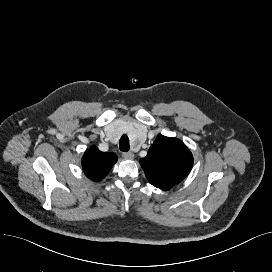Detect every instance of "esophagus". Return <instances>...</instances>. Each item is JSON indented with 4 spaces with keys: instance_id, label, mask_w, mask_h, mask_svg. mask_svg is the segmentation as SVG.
Returning a JSON list of instances; mask_svg holds the SVG:
<instances>
[{
    "instance_id": "obj_1",
    "label": "esophagus",
    "mask_w": 272,
    "mask_h": 272,
    "mask_svg": "<svg viewBox=\"0 0 272 272\" xmlns=\"http://www.w3.org/2000/svg\"><path fill=\"white\" fill-rule=\"evenodd\" d=\"M123 158L125 159H133L134 158V154L132 152H124L122 154Z\"/></svg>"
}]
</instances>
